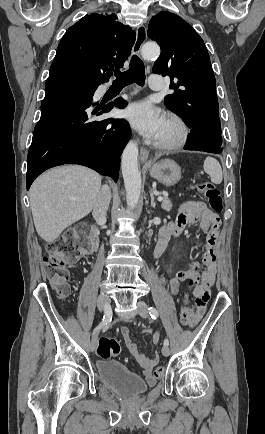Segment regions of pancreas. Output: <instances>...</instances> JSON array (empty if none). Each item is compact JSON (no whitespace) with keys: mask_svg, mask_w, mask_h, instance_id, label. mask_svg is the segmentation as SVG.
I'll list each match as a JSON object with an SVG mask.
<instances>
[{"mask_svg":"<svg viewBox=\"0 0 265 434\" xmlns=\"http://www.w3.org/2000/svg\"><path fill=\"white\" fill-rule=\"evenodd\" d=\"M161 206L163 210H167V212H170V210H172V202L171 200H169V198H164V200H162Z\"/></svg>","mask_w":265,"mask_h":434,"instance_id":"1","label":"pancreas"}]
</instances>
